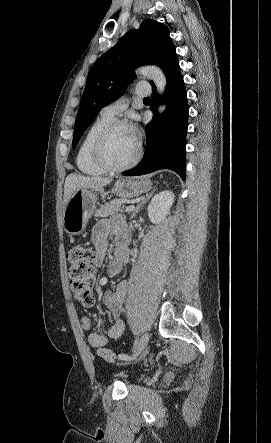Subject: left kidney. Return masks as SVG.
Wrapping results in <instances>:
<instances>
[{
    "label": "left kidney",
    "instance_id": "left-kidney-1",
    "mask_svg": "<svg viewBox=\"0 0 271 443\" xmlns=\"http://www.w3.org/2000/svg\"><path fill=\"white\" fill-rule=\"evenodd\" d=\"M174 202L173 192H160L152 198L147 210L150 222L160 223L165 220L167 214L170 212V208Z\"/></svg>",
    "mask_w": 271,
    "mask_h": 443
}]
</instances>
